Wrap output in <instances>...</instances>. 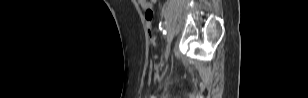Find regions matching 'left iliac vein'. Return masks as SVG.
Here are the masks:
<instances>
[{
    "mask_svg": "<svg viewBox=\"0 0 308 98\" xmlns=\"http://www.w3.org/2000/svg\"><path fill=\"white\" fill-rule=\"evenodd\" d=\"M170 51H171V44L168 43L167 47H166V51H165V55H164V58H163V61L166 62L169 55H170Z\"/></svg>",
    "mask_w": 308,
    "mask_h": 98,
    "instance_id": "left-iliac-vein-1",
    "label": "left iliac vein"
}]
</instances>
